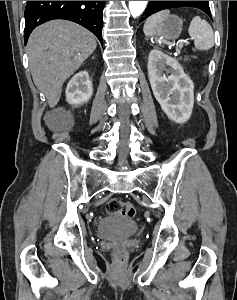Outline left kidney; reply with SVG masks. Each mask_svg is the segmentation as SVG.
I'll return each mask as SVG.
<instances>
[{
    "label": "left kidney",
    "mask_w": 237,
    "mask_h": 300,
    "mask_svg": "<svg viewBox=\"0 0 237 300\" xmlns=\"http://www.w3.org/2000/svg\"><path fill=\"white\" fill-rule=\"evenodd\" d=\"M165 65L170 69H165ZM147 69L151 89L162 111L171 121L180 125L186 123L194 105V85L190 77L184 73L176 59L158 49L150 51ZM164 71L170 77H165Z\"/></svg>",
    "instance_id": "left-kidney-1"
}]
</instances>
